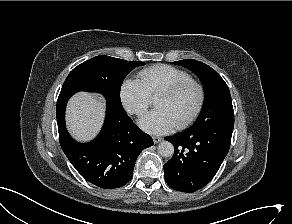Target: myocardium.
<instances>
[{
    "label": "myocardium",
    "instance_id": "myocardium-1",
    "mask_svg": "<svg viewBox=\"0 0 292 224\" xmlns=\"http://www.w3.org/2000/svg\"><path fill=\"white\" fill-rule=\"evenodd\" d=\"M190 87H194L198 91V102L193 112L184 121L176 125V128L179 130L185 129L188 126H190L200 115L204 107L205 100H206V91H205L204 86L200 82L194 79H189V80L177 83L175 85H172L168 88H165L157 95V97L172 98L179 95L180 93H182L183 91H185L186 89Z\"/></svg>",
    "mask_w": 292,
    "mask_h": 224
}]
</instances>
